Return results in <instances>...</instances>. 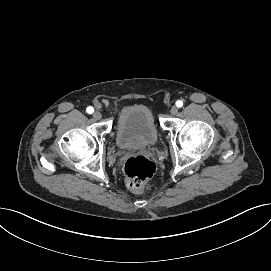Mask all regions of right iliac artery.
Instances as JSON below:
<instances>
[{
  "mask_svg": "<svg viewBox=\"0 0 271 271\" xmlns=\"http://www.w3.org/2000/svg\"><path fill=\"white\" fill-rule=\"evenodd\" d=\"M86 111H87V113L91 114L94 112V109H93V107L89 106V107H87Z\"/></svg>",
  "mask_w": 271,
  "mask_h": 271,
  "instance_id": "82829eb1",
  "label": "right iliac artery"
}]
</instances>
